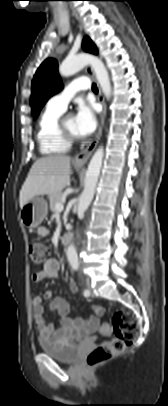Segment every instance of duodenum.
Segmentation results:
<instances>
[{
  "label": "duodenum",
  "instance_id": "duodenum-1",
  "mask_svg": "<svg viewBox=\"0 0 168 406\" xmlns=\"http://www.w3.org/2000/svg\"><path fill=\"white\" fill-rule=\"evenodd\" d=\"M71 240H72V233H71V231H67L62 236L61 242L63 245H68L71 242Z\"/></svg>",
  "mask_w": 168,
  "mask_h": 406
}]
</instances>
